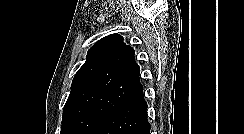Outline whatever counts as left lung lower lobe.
I'll return each instance as SVG.
<instances>
[{"mask_svg":"<svg viewBox=\"0 0 244 134\" xmlns=\"http://www.w3.org/2000/svg\"><path fill=\"white\" fill-rule=\"evenodd\" d=\"M150 128L142 94L114 111L95 134H150Z\"/></svg>","mask_w":244,"mask_h":134,"instance_id":"left-lung-lower-lobe-1","label":"left lung lower lobe"}]
</instances>
